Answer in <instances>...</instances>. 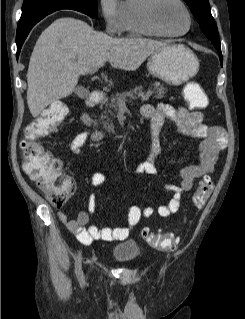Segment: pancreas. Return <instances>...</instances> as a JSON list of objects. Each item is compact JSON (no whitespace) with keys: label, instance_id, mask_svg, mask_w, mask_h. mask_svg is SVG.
Listing matches in <instances>:
<instances>
[{"label":"pancreas","instance_id":"obj_1","mask_svg":"<svg viewBox=\"0 0 245 319\" xmlns=\"http://www.w3.org/2000/svg\"><path fill=\"white\" fill-rule=\"evenodd\" d=\"M151 93L154 94V98L156 99H162L164 98L165 93L167 92V89L160 85L159 82H155L152 87L149 89ZM144 92H143V86L139 85L136 86L134 89H130L129 91L122 92V93H117L116 95L112 96L109 102L106 101L105 103V110L101 114V119L103 121V127L106 132L108 133H114V126L112 124V121L109 118L110 116H114V111L118 110L120 101L122 100H127V99H132L135 100L137 97H143Z\"/></svg>","mask_w":245,"mask_h":319}]
</instances>
